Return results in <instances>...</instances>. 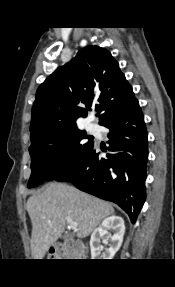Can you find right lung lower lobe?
Returning <instances> with one entry per match:
<instances>
[{"instance_id":"right-lung-lower-lobe-1","label":"right lung lower lobe","mask_w":175,"mask_h":287,"mask_svg":"<svg viewBox=\"0 0 175 287\" xmlns=\"http://www.w3.org/2000/svg\"><path fill=\"white\" fill-rule=\"evenodd\" d=\"M109 129L107 159L93 146L83 162L56 179L72 182L78 189L118 204L135 223L146 197L147 131L138 101L105 117Z\"/></svg>"}]
</instances>
